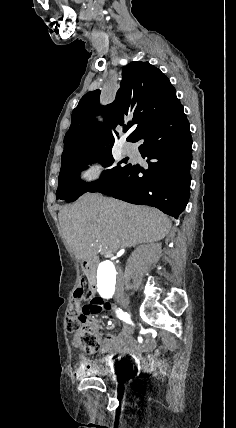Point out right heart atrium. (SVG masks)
I'll list each match as a JSON object with an SVG mask.
<instances>
[{"label":"right heart atrium","mask_w":236,"mask_h":428,"mask_svg":"<svg viewBox=\"0 0 236 428\" xmlns=\"http://www.w3.org/2000/svg\"><path fill=\"white\" fill-rule=\"evenodd\" d=\"M80 178L85 182H92L99 178V169L96 166H89L81 171Z\"/></svg>","instance_id":"1"}]
</instances>
